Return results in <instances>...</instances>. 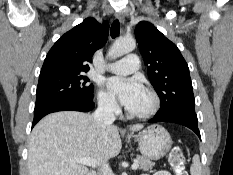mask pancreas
Here are the masks:
<instances>
[{
    "mask_svg": "<svg viewBox=\"0 0 233 175\" xmlns=\"http://www.w3.org/2000/svg\"><path fill=\"white\" fill-rule=\"evenodd\" d=\"M136 161H138L140 164L139 168L144 170V171L151 170L152 167L155 165V163L152 162L150 159H148L144 156H140V155L136 156Z\"/></svg>",
    "mask_w": 233,
    "mask_h": 175,
    "instance_id": "obj_1",
    "label": "pancreas"
}]
</instances>
